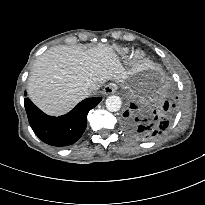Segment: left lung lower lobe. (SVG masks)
<instances>
[{
  "label": "left lung lower lobe",
  "mask_w": 205,
  "mask_h": 205,
  "mask_svg": "<svg viewBox=\"0 0 205 205\" xmlns=\"http://www.w3.org/2000/svg\"><path fill=\"white\" fill-rule=\"evenodd\" d=\"M174 104H169L165 102L163 109L156 113L153 112L155 117L151 121L145 120V122H139L138 118L135 119L133 114H130L128 111L124 113L123 126L125 130L132 135L133 137L149 141L153 140L160 135H162L169 127L171 120L173 118V108ZM131 109H135L136 106L131 104Z\"/></svg>",
  "instance_id": "obj_1"
}]
</instances>
